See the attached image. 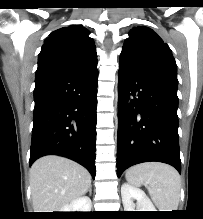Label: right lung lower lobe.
<instances>
[{
	"label": "right lung lower lobe",
	"mask_w": 203,
	"mask_h": 219,
	"mask_svg": "<svg viewBox=\"0 0 203 219\" xmlns=\"http://www.w3.org/2000/svg\"><path fill=\"white\" fill-rule=\"evenodd\" d=\"M97 76V64L36 75L30 165L54 154L95 178Z\"/></svg>",
	"instance_id": "right-lung-lower-lobe-1"
}]
</instances>
